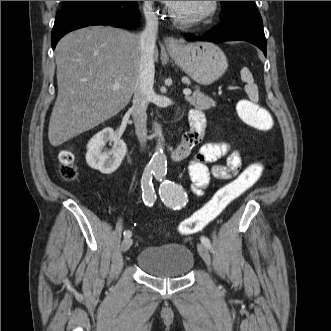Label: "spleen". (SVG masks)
<instances>
[{
  "mask_svg": "<svg viewBox=\"0 0 331 331\" xmlns=\"http://www.w3.org/2000/svg\"><path fill=\"white\" fill-rule=\"evenodd\" d=\"M241 79L247 83L245 91L252 102H258V87L254 84V79L248 68H243L240 72Z\"/></svg>",
  "mask_w": 331,
  "mask_h": 331,
  "instance_id": "obj_1",
  "label": "spleen"
}]
</instances>
